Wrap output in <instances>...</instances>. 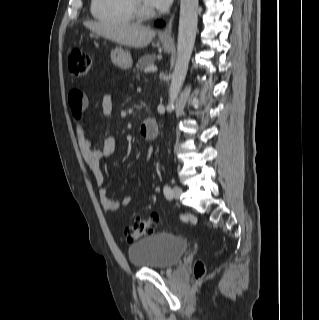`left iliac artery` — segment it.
I'll list each match as a JSON object with an SVG mask.
<instances>
[{"label": "left iliac artery", "mask_w": 319, "mask_h": 320, "mask_svg": "<svg viewBox=\"0 0 319 320\" xmlns=\"http://www.w3.org/2000/svg\"><path fill=\"white\" fill-rule=\"evenodd\" d=\"M163 192H164V195L167 199L173 198V192H172V189L170 188V186L165 185L163 188Z\"/></svg>", "instance_id": "left-iliac-artery-1"}]
</instances>
